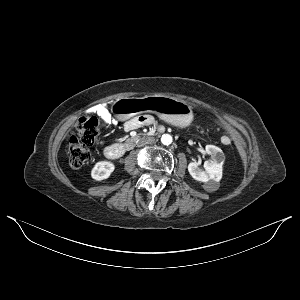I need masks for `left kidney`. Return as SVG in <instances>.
<instances>
[{
  "label": "left kidney",
  "mask_w": 300,
  "mask_h": 300,
  "mask_svg": "<svg viewBox=\"0 0 300 300\" xmlns=\"http://www.w3.org/2000/svg\"><path fill=\"white\" fill-rule=\"evenodd\" d=\"M205 151L211 156V160L204 162V170H201L196 162H191L188 165V171L197 181L206 183L212 180L219 182L222 178V165L225 161V155L219 147L214 145H206Z\"/></svg>",
  "instance_id": "1"
}]
</instances>
